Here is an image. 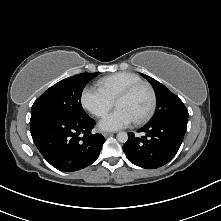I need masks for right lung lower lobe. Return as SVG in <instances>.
<instances>
[{
    "mask_svg": "<svg viewBox=\"0 0 221 221\" xmlns=\"http://www.w3.org/2000/svg\"><path fill=\"white\" fill-rule=\"evenodd\" d=\"M94 125L88 115L30 120L31 135L40 153L53 167L65 172L83 169L99 157L105 138L91 133Z\"/></svg>",
    "mask_w": 221,
    "mask_h": 221,
    "instance_id": "98d812e1",
    "label": "right lung lower lobe"
}]
</instances>
